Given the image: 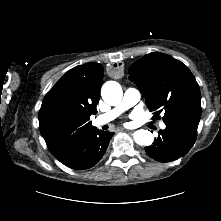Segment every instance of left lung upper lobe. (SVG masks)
Segmentation results:
<instances>
[{"mask_svg":"<svg viewBox=\"0 0 221 221\" xmlns=\"http://www.w3.org/2000/svg\"><path fill=\"white\" fill-rule=\"evenodd\" d=\"M154 116L165 112L163 121L201 117L199 85L181 61L153 52L137 60L129 70Z\"/></svg>","mask_w":221,"mask_h":221,"instance_id":"left-lung-upper-lobe-1","label":"left lung upper lobe"}]
</instances>
